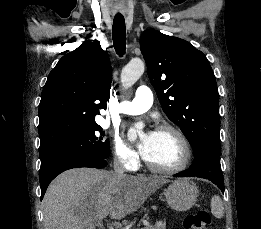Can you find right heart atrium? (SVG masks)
<instances>
[{"label":"right heart atrium","instance_id":"right-heart-atrium-1","mask_svg":"<svg viewBox=\"0 0 261 229\" xmlns=\"http://www.w3.org/2000/svg\"><path fill=\"white\" fill-rule=\"evenodd\" d=\"M113 155L115 162L124 170L133 172L140 166V158L135 149L119 137L113 140Z\"/></svg>","mask_w":261,"mask_h":229}]
</instances>
